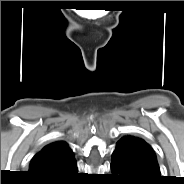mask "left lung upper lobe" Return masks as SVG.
<instances>
[{"label":"left lung upper lobe","instance_id":"5c2ea615","mask_svg":"<svg viewBox=\"0 0 184 184\" xmlns=\"http://www.w3.org/2000/svg\"><path fill=\"white\" fill-rule=\"evenodd\" d=\"M119 142H130L134 144L136 147H138L141 150H144L146 153L150 154L152 157H155L154 151L151 149V147L141 138L134 137V136H125L121 138Z\"/></svg>","mask_w":184,"mask_h":184}]
</instances>
